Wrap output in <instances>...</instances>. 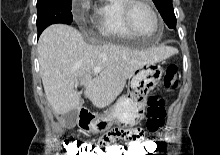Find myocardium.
I'll list each match as a JSON object with an SVG mask.
<instances>
[{
	"mask_svg": "<svg viewBox=\"0 0 220 155\" xmlns=\"http://www.w3.org/2000/svg\"><path fill=\"white\" fill-rule=\"evenodd\" d=\"M138 4H142L145 5L153 14L155 20H156V30L154 33L152 34H144L139 32L133 22H132V9L134 8V6L138 5ZM123 19H124V23L126 25V27L128 28V30L136 35V36H151V35H155L158 34L161 30H162V20L161 17L159 15V13L157 12L156 8L154 7V5L152 4V2L150 0H125V3L123 5Z\"/></svg>",
	"mask_w": 220,
	"mask_h": 155,
	"instance_id": "obj_1",
	"label": "myocardium"
}]
</instances>
